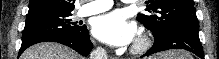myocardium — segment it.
Masks as SVG:
<instances>
[{"label":"myocardium","instance_id":"obj_1","mask_svg":"<svg viewBox=\"0 0 219 59\" xmlns=\"http://www.w3.org/2000/svg\"><path fill=\"white\" fill-rule=\"evenodd\" d=\"M150 44L151 42L148 37H141L135 42L132 51L136 54L142 53L150 47Z\"/></svg>","mask_w":219,"mask_h":59}]
</instances>
